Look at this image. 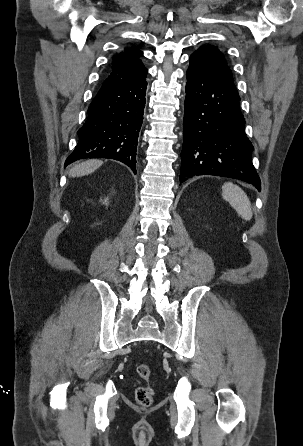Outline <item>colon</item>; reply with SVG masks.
Instances as JSON below:
<instances>
[{
	"label": "colon",
	"instance_id": "obj_1",
	"mask_svg": "<svg viewBox=\"0 0 303 446\" xmlns=\"http://www.w3.org/2000/svg\"><path fill=\"white\" fill-rule=\"evenodd\" d=\"M136 371L138 376L147 383L137 388L135 392L136 401L140 406L149 407L154 398V389L150 385L152 379L151 369L147 364L142 363L137 366Z\"/></svg>",
	"mask_w": 303,
	"mask_h": 446
}]
</instances>
